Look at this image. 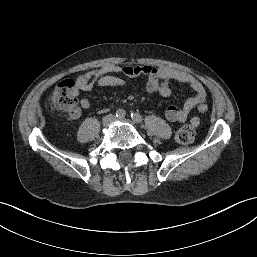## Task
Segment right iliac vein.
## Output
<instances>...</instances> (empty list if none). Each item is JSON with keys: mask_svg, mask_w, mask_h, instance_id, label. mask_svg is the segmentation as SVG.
<instances>
[{"mask_svg": "<svg viewBox=\"0 0 257 257\" xmlns=\"http://www.w3.org/2000/svg\"><path fill=\"white\" fill-rule=\"evenodd\" d=\"M111 121H112V117L107 116L104 118L103 123L104 125H109Z\"/></svg>", "mask_w": 257, "mask_h": 257, "instance_id": "1", "label": "right iliac vein"}]
</instances>
